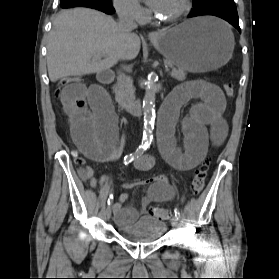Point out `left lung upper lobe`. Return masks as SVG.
Listing matches in <instances>:
<instances>
[{"label": "left lung upper lobe", "instance_id": "left-lung-upper-lobe-1", "mask_svg": "<svg viewBox=\"0 0 279 279\" xmlns=\"http://www.w3.org/2000/svg\"><path fill=\"white\" fill-rule=\"evenodd\" d=\"M192 1L195 4V3L199 2L200 0H192Z\"/></svg>", "mask_w": 279, "mask_h": 279}]
</instances>
